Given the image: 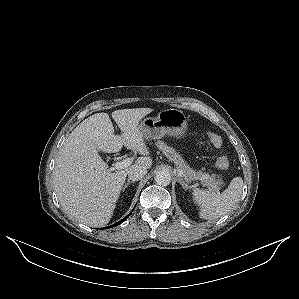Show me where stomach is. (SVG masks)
Returning <instances> with one entry per match:
<instances>
[{"mask_svg": "<svg viewBox=\"0 0 299 299\" xmlns=\"http://www.w3.org/2000/svg\"><path fill=\"white\" fill-rule=\"evenodd\" d=\"M187 125L183 111L170 108L142 120L139 129L145 139H160L165 135L181 138L185 136Z\"/></svg>", "mask_w": 299, "mask_h": 299, "instance_id": "obj_1", "label": "stomach"}]
</instances>
